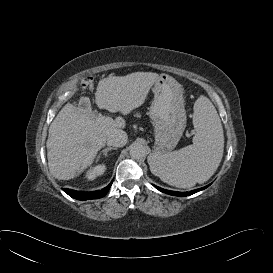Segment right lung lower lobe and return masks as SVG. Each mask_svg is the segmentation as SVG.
Returning a JSON list of instances; mask_svg holds the SVG:
<instances>
[{"label":"right lung lower lobe","instance_id":"98d812e1","mask_svg":"<svg viewBox=\"0 0 273 273\" xmlns=\"http://www.w3.org/2000/svg\"><path fill=\"white\" fill-rule=\"evenodd\" d=\"M111 185H112V182L107 187L101 190L91 191V192H78L71 189H63V191L67 193L69 196H71L72 198L83 201V200H89V199H98L105 196L107 192L109 191Z\"/></svg>","mask_w":273,"mask_h":273}]
</instances>
